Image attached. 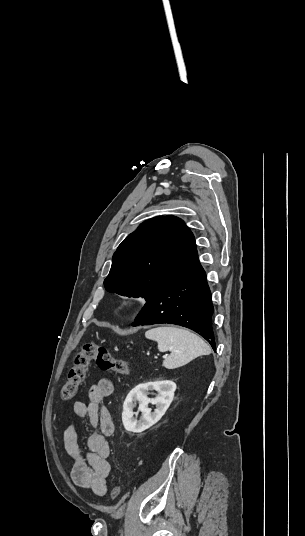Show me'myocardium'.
I'll return each instance as SVG.
<instances>
[{
	"mask_svg": "<svg viewBox=\"0 0 305 536\" xmlns=\"http://www.w3.org/2000/svg\"><path fill=\"white\" fill-rule=\"evenodd\" d=\"M143 306L141 298L136 295H124L119 301V311L125 316H133L140 311Z\"/></svg>",
	"mask_w": 305,
	"mask_h": 536,
	"instance_id": "myocardium-1",
	"label": "myocardium"
}]
</instances>
